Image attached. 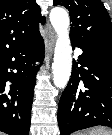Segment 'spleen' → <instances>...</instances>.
<instances>
[{"label": "spleen", "instance_id": "spleen-1", "mask_svg": "<svg viewBox=\"0 0 112 135\" xmlns=\"http://www.w3.org/2000/svg\"><path fill=\"white\" fill-rule=\"evenodd\" d=\"M77 135H112V130L104 127H96L86 133H78Z\"/></svg>", "mask_w": 112, "mask_h": 135}]
</instances>
